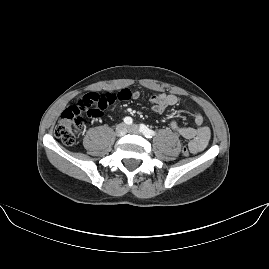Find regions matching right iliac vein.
Segmentation results:
<instances>
[{
	"label": "right iliac vein",
	"mask_w": 269,
	"mask_h": 269,
	"mask_svg": "<svg viewBox=\"0 0 269 269\" xmlns=\"http://www.w3.org/2000/svg\"><path fill=\"white\" fill-rule=\"evenodd\" d=\"M126 133H127V128H126V125L124 123L118 124L116 126L115 134L117 137L124 136Z\"/></svg>",
	"instance_id": "63e3f726"
}]
</instances>
